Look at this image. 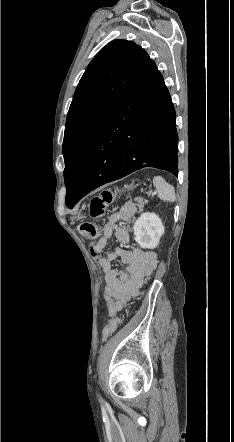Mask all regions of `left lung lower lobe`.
Wrapping results in <instances>:
<instances>
[{
	"instance_id": "0a47b994",
	"label": "left lung lower lobe",
	"mask_w": 234,
	"mask_h": 442,
	"mask_svg": "<svg viewBox=\"0 0 234 442\" xmlns=\"http://www.w3.org/2000/svg\"><path fill=\"white\" fill-rule=\"evenodd\" d=\"M175 110L151 60L126 92L89 151L71 209L93 189L144 167L178 175Z\"/></svg>"
}]
</instances>
